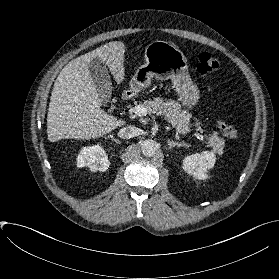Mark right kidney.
<instances>
[{
	"instance_id": "ca27d5eb",
	"label": "right kidney",
	"mask_w": 279,
	"mask_h": 279,
	"mask_svg": "<svg viewBox=\"0 0 279 279\" xmlns=\"http://www.w3.org/2000/svg\"><path fill=\"white\" fill-rule=\"evenodd\" d=\"M109 165L108 155L100 145L82 147L77 156V167H88L92 172H104Z\"/></svg>"
}]
</instances>
